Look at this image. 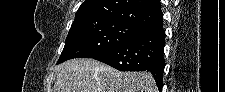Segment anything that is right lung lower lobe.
Segmentation results:
<instances>
[{"label":"right lung lower lobe","instance_id":"obj_1","mask_svg":"<svg viewBox=\"0 0 225 92\" xmlns=\"http://www.w3.org/2000/svg\"><path fill=\"white\" fill-rule=\"evenodd\" d=\"M165 36L162 25L146 30L129 42L105 50L92 58L119 71H149L161 91L165 67Z\"/></svg>","mask_w":225,"mask_h":92}]
</instances>
